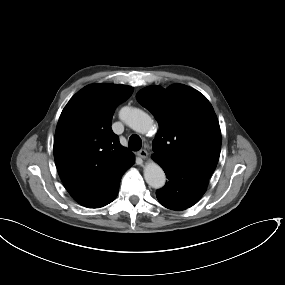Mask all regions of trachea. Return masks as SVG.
<instances>
[{"label":"trachea","instance_id":"obj_1","mask_svg":"<svg viewBox=\"0 0 285 285\" xmlns=\"http://www.w3.org/2000/svg\"><path fill=\"white\" fill-rule=\"evenodd\" d=\"M142 146V140L138 135H131L129 138V148L133 151L140 150Z\"/></svg>","mask_w":285,"mask_h":285}]
</instances>
